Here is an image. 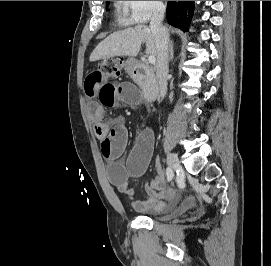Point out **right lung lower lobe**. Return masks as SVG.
I'll list each match as a JSON object with an SVG mask.
<instances>
[{
    "mask_svg": "<svg viewBox=\"0 0 271 266\" xmlns=\"http://www.w3.org/2000/svg\"><path fill=\"white\" fill-rule=\"evenodd\" d=\"M194 1H168V23L187 31L193 15Z\"/></svg>",
    "mask_w": 271,
    "mask_h": 266,
    "instance_id": "right-lung-lower-lobe-1",
    "label": "right lung lower lobe"
}]
</instances>
